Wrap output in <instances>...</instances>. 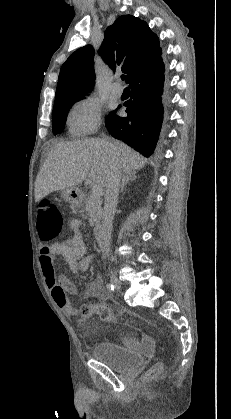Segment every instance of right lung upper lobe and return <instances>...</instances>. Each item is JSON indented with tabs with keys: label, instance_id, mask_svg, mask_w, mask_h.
Returning a JSON list of instances; mask_svg holds the SVG:
<instances>
[{
	"label": "right lung upper lobe",
	"instance_id": "cb5924a9",
	"mask_svg": "<svg viewBox=\"0 0 231 419\" xmlns=\"http://www.w3.org/2000/svg\"><path fill=\"white\" fill-rule=\"evenodd\" d=\"M109 67H120L129 83L161 59L159 40L147 23L139 18L123 15L105 31L99 49ZM94 49L90 45L76 50L61 67L55 102L84 97L94 85Z\"/></svg>",
	"mask_w": 231,
	"mask_h": 419
}]
</instances>
